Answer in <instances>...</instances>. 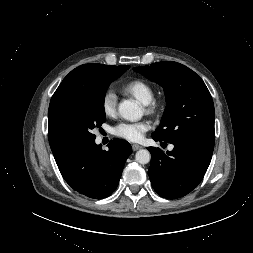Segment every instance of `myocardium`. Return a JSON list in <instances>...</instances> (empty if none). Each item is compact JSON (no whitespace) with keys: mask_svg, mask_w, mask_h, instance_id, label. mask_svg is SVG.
<instances>
[{"mask_svg":"<svg viewBox=\"0 0 253 253\" xmlns=\"http://www.w3.org/2000/svg\"><path fill=\"white\" fill-rule=\"evenodd\" d=\"M159 110L158 102L152 100L150 103L146 104V112L148 114H154Z\"/></svg>","mask_w":253,"mask_h":253,"instance_id":"myocardium-1","label":"myocardium"}]
</instances>
